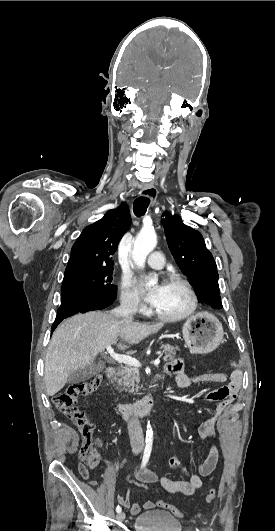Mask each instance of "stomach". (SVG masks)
Segmentation results:
<instances>
[{
	"label": "stomach",
	"instance_id": "stomach-1",
	"mask_svg": "<svg viewBox=\"0 0 275 531\" xmlns=\"http://www.w3.org/2000/svg\"><path fill=\"white\" fill-rule=\"evenodd\" d=\"M182 333L188 349L202 355L215 351L224 337L222 323L205 311L188 317L182 327Z\"/></svg>",
	"mask_w": 275,
	"mask_h": 531
}]
</instances>
